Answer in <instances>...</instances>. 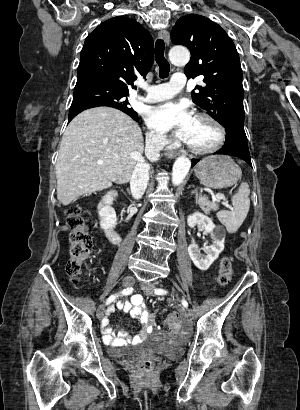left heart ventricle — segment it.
<instances>
[{
    "instance_id": "left-heart-ventricle-1",
    "label": "left heart ventricle",
    "mask_w": 300,
    "mask_h": 410,
    "mask_svg": "<svg viewBox=\"0 0 300 410\" xmlns=\"http://www.w3.org/2000/svg\"><path fill=\"white\" fill-rule=\"evenodd\" d=\"M219 139L217 128L208 121L196 118L188 143L198 148L213 146Z\"/></svg>"
}]
</instances>
